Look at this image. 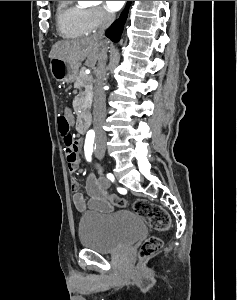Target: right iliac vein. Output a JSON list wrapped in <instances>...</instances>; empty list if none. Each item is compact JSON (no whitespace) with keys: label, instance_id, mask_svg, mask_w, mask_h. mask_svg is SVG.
Here are the masks:
<instances>
[{"label":"right iliac vein","instance_id":"1","mask_svg":"<svg viewBox=\"0 0 237 300\" xmlns=\"http://www.w3.org/2000/svg\"><path fill=\"white\" fill-rule=\"evenodd\" d=\"M96 152H97L98 155L104 156L105 148H98V149H96Z\"/></svg>","mask_w":237,"mask_h":300}]
</instances>
